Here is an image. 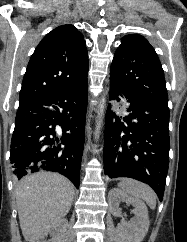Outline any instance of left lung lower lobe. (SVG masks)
I'll return each mask as SVG.
<instances>
[{
  "instance_id": "left-lung-lower-lobe-1",
  "label": "left lung lower lobe",
  "mask_w": 187,
  "mask_h": 242,
  "mask_svg": "<svg viewBox=\"0 0 187 242\" xmlns=\"http://www.w3.org/2000/svg\"><path fill=\"white\" fill-rule=\"evenodd\" d=\"M127 99L128 115L108 105L105 121L104 172L129 177L153 188L162 201L169 164V108L151 102L110 80L109 100Z\"/></svg>"
}]
</instances>
